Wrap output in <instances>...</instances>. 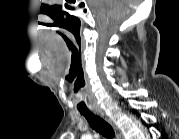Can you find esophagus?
Returning a JSON list of instances; mask_svg holds the SVG:
<instances>
[{
  "label": "esophagus",
  "instance_id": "34e87169",
  "mask_svg": "<svg viewBox=\"0 0 179 139\" xmlns=\"http://www.w3.org/2000/svg\"><path fill=\"white\" fill-rule=\"evenodd\" d=\"M98 112L101 114V116H104V113L101 112L100 110H98ZM107 122L113 127V129L115 130L116 134H117V137L119 139H123V134L121 132V130L112 122L111 119L109 118H106Z\"/></svg>",
  "mask_w": 179,
  "mask_h": 139
}]
</instances>
